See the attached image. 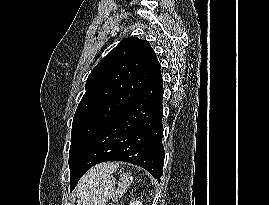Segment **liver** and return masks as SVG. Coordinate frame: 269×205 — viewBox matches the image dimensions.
I'll return each instance as SVG.
<instances>
[{
  "mask_svg": "<svg viewBox=\"0 0 269 205\" xmlns=\"http://www.w3.org/2000/svg\"><path fill=\"white\" fill-rule=\"evenodd\" d=\"M116 164L103 163L95 166L81 179L78 186V194L81 197L87 190H89L96 182L111 173L116 168Z\"/></svg>",
  "mask_w": 269,
  "mask_h": 205,
  "instance_id": "1",
  "label": "liver"
}]
</instances>
